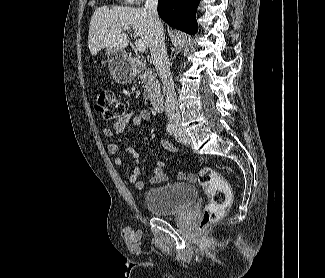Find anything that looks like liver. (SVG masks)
<instances>
[{"label":"liver","mask_w":325,"mask_h":278,"mask_svg":"<svg viewBox=\"0 0 325 278\" xmlns=\"http://www.w3.org/2000/svg\"><path fill=\"white\" fill-rule=\"evenodd\" d=\"M132 28L146 45L150 43L148 14L144 8L102 6L95 9L88 34V47L95 56L103 48L124 49L129 37L124 28Z\"/></svg>","instance_id":"liver-1"}]
</instances>
